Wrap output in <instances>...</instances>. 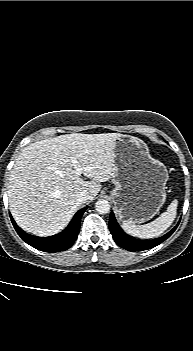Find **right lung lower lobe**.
<instances>
[{
	"instance_id": "obj_1",
	"label": "right lung lower lobe",
	"mask_w": 193,
	"mask_h": 351,
	"mask_svg": "<svg viewBox=\"0 0 193 351\" xmlns=\"http://www.w3.org/2000/svg\"><path fill=\"white\" fill-rule=\"evenodd\" d=\"M86 208L87 207L80 209L75 214L72 221L64 231L50 237H37V236L30 235L24 232L23 230H21L17 226V224L15 223L11 215H10V218L18 235L27 244H29L30 246L38 250L54 253V252L67 250L73 245V243L75 242L78 236V233L80 230L81 217L84 211L86 210Z\"/></svg>"
}]
</instances>
